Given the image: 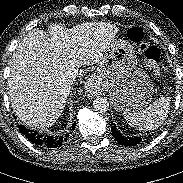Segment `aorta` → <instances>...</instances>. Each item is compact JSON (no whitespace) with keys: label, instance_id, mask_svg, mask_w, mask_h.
I'll return each mask as SVG.
<instances>
[{"label":"aorta","instance_id":"aorta-1","mask_svg":"<svg viewBox=\"0 0 183 183\" xmlns=\"http://www.w3.org/2000/svg\"><path fill=\"white\" fill-rule=\"evenodd\" d=\"M109 103L106 98L104 97H97L93 100V108L95 111L104 113L108 110Z\"/></svg>","mask_w":183,"mask_h":183}]
</instances>
